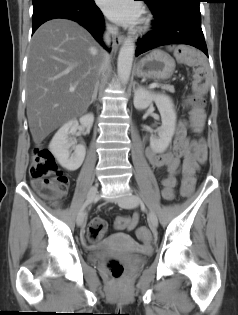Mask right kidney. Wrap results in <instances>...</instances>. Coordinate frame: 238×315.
I'll return each instance as SVG.
<instances>
[{
  "mask_svg": "<svg viewBox=\"0 0 238 315\" xmlns=\"http://www.w3.org/2000/svg\"><path fill=\"white\" fill-rule=\"evenodd\" d=\"M79 122L83 128L89 130L94 122L92 113L80 117ZM79 122L73 119L65 123L52 138L49 149L58 163L69 171L77 170L83 163L86 148L82 144L75 145L70 135H74L79 128ZM71 150H74L71 153Z\"/></svg>",
  "mask_w": 238,
  "mask_h": 315,
  "instance_id": "1",
  "label": "right kidney"
}]
</instances>
